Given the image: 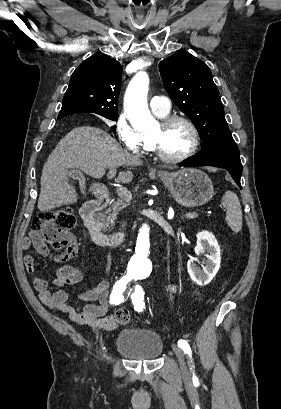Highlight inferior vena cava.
I'll use <instances>...</instances> for the list:
<instances>
[{
  "label": "inferior vena cava",
  "mask_w": 281,
  "mask_h": 409,
  "mask_svg": "<svg viewBox=\"0 0 281 409\" xmlns=\"http://www.w3.org/2000/svg\"><path fill=\"white\" fill-rule=\"evenodd\" d=\"M121 227H122V229H124V227H126L125 221H123V223H121ZM122 229H120V231H122Z\"/></svg>",
  "instance_id": "602c4592"
}]
</instances>
